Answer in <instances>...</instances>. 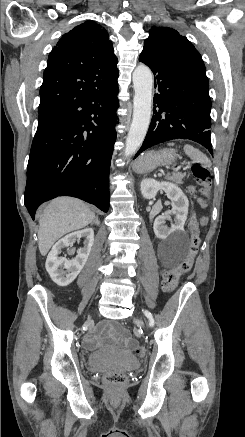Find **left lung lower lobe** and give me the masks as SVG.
Instances as JSON below:
<instances>
[{"mask_svg": "<svg viewBox=\"0 0 245 437\" xmlns=\"http://www.w3.org/2000/svg\"><path fill=\"white\" fill-rule=\"evenodd\" d=\"M139 61L151 68L158 93L154 96L155 115L134 158L156 144L173 139L198 142L212 154L209 84L144 52Z\"/></svg>", "mask_w": 245, "mask_h": 437, "instance_id": "left-lung-lower-lobe-1", "label": "left lung lower lobe"}]
</instances>
